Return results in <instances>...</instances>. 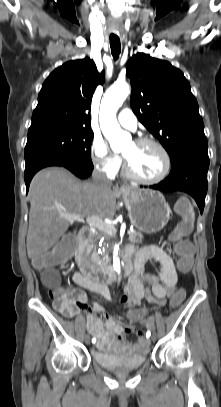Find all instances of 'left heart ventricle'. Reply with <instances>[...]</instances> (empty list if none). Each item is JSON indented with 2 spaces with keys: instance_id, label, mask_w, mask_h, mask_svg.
Listing matches in <instances>:
<instances>
[{
  "instance_id": "left-heart-ventricle-1",
  "label": "left heart ventricle",
  "mask_w": 221,
  "mask_h": 407,
  "mask_svg": "<svg viewBox=\"0 0 221 407\" xmlns=\"http://www.w3.org/2000/svg\"><path fill=\"white\" fill-rule=\"evenodd\" d=\"M122 153L130 161L135 172L142 177L157 178L165 169L164 156L155 146L131 142Z\"/></svg>"
}]
</instances>
